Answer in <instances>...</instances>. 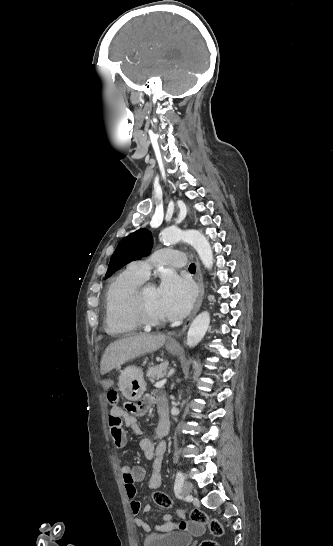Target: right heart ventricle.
Masks as SVG:
<instances>
[{
    "label": "right heart ventricle",
    "instance_id": "1",
    "mask_svg": "<svg viewBox=\"0 0 333 546\" xmlns=\"http://www.w3.org/2000/svg\"><path fill=\"white\" fill-rule=\"evenodd\" d=\"M144 281L145 278L133 266L111 280L104 298V324L109 334L127 335L140 328L129 310L128 297Z\"/></svg>",
    "mask_w": 333,
    "mask_h": 546
}]
</instances>
